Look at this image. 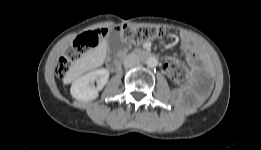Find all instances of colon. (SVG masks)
Wrapping results in <instances>:
<instances>
[{
  "label": "colon",
  "instance_id": "colon-1",
  "mask_svg": "<svg viewBox=\"0 0 261 150\" xmlns=\"http://www.w3.org/2000/svg\"><path fill=\"white\" fill-rule=\"evenodd\" d=\"M126 41L138 44L145 40L155 38H169L172 33L169 29L160 26L133 27L124 25L120 28ZM108 30L105 28L95 29L77 37L69 46L65 54L56 64V74L64 78L72 64L85 54L89 49L96 47L106 36ZM167 75L178 85H184L188 80L187 69L178 62H171L166 65Z\"/></svg>",
  "mask_w": 261,
  "mask_h": 150
}]
</instances>
